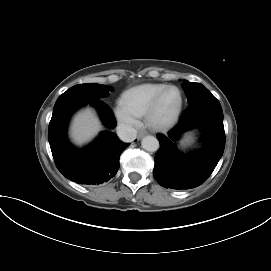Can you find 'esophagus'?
Returning <instances> with one entry per match:
<instances>
[{
  "label": "esophagus",
  "instance_id": "obj_1",
  "mask_svg": "<svg viewBox=\"0 0 271 271\" xmlns=\"http://www.w3.org/2000/svg\"><path fill=\"white\" fill-rule=\"evenodd\" d=\"M145 135H147V131L146 130H140L138 133V139L144 137Z\"/></svg>",
  "mask_w": 271,
  "mask_h": 271
}]
</instances>
